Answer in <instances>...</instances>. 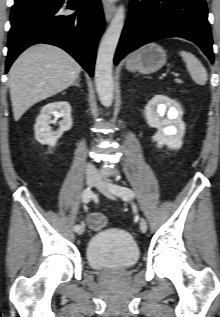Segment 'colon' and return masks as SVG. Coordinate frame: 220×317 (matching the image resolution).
Instances as JSON below:
<instances>
[{
    "mask_svg": "<svg viewBox=\"0 0 220 317\" xmlns=\"http://www.w3.org/2000/svg\"><path fill=\"white\" fill-rule=\"evenodd\" d=\"M89 227L94 230H102L107 226V219L99 213H91L87 219Z\"/></svg>",
    "mask_w": 220,
    "mask_h": 317,
    "instance_id": "colon-1",
    "label": "colon"
}]
</instances>
